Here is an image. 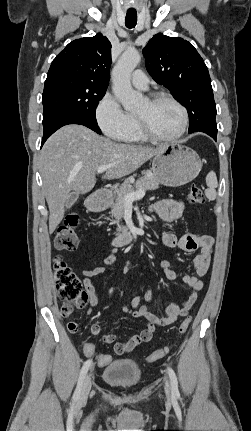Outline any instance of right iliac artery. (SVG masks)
Returning a JSON list of instances; mask_svg holds the SVG:
<instances>
[{"mask_svg": "<svg viewBox=\"0 0 251 431\" xmlns=\"http://www.w3.org/2000/svg\"><path fill=\"white\" fill-rule=\"evenodd\" d=\"M91 364H92V360H87L82 366V369H81L80 375H79L78 384H77V387H76L75 392L73 394V400L74 401H77L79 399L83 381L85 379V376H86Z\"/></svg>", "mask_w": 251, "mask_h": 431, "instance_id": "right-iliac-artery-1", "label": "right iliac artery"}]
</instances>
